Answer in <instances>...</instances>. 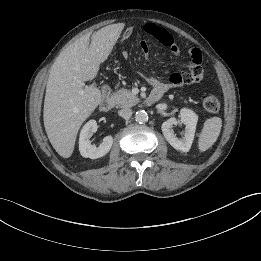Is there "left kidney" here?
Masks as SVG:
<instances>
[{
    "instance_id": "1",
    "label": "left kidney",
    "mask_w": 261,
    "mask_h": 261,
    "mask_svg": "<svg viewBox=\"0 0 261 261\" xmlns=\"http://www.w3.org/2000/svg\"><path fill=\"white\" fill-rule=\"evenodd\" d=\"M197 121L198 116L196 113L190 109L183 108L180 111V120L170 118L162 123L163 135L173 148L182 152H188L194 140ZM179 122L186 125L182 139L176 137L173 130V125H177Z\"/></svg>"
}]
</instances>
